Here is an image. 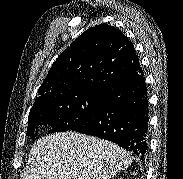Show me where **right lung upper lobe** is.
Returning a JSON list of instances; mask_svg holds the SVG:
<instances>
[{
	"label": "right lung upper lobe",
	"mask_w": 183,
	"mask_h": 179,
	"mask_svg": "<svg viewBox=\"0 0 183 179\" xmlns=\"http://www.w3.org/2000/svg\"><path fill=\"white\" fill-rule=\"evenodd\" d=\"M139 68L134 46L121 31L106 24L95 26L56 59L33 107L60 97L101 94L109 84Z\"/></svg>",
	"instance_id": "1"
}]
</instances>
